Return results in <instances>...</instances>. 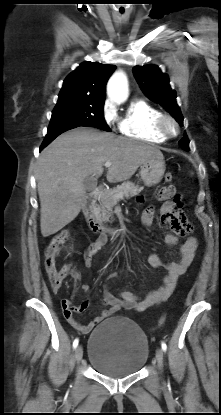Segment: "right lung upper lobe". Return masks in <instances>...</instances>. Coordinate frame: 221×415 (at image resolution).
<instances>
[{
	"label": "right lung upper lobe",
	"instance_id": "obj_1",
	"mask_svg": "<svg viewBox=\"0 0 221 415\" xmlns=\"http://www.w3.org/2000/svg\"><path fill=\"white\" fill-rule=\"evenodd\" d=\"M115 65L83 62L64 80L59 96L105 99V86Z\"/></svg>",
	"mask_w": 221,
	"mask_h": 415
}]
</instances>
